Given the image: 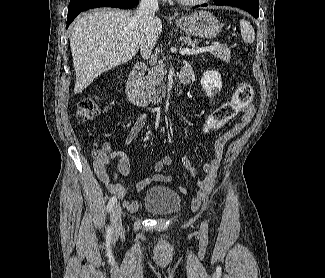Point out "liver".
Segmentation results:
<instances>
[{
	"label": "liver",
	"mask_w": 325,
	"mask_h": 278,
	"mask_svg": "<svg viewBox=\"0 0 325 278\" xmlns=\"http://www.w3.org/2000/svg\"><path fill=\"white\" fill-rule=\"evenodd\" d=\"M155 29L160 35L159 17H155ZM143 36L144 26L137 11L96 9L79 16L70 34L76 73L74 93L82 92L103 72L131 60Z\"/></svg>",
	"instance_id": "obj_1"
}]
</instances>
